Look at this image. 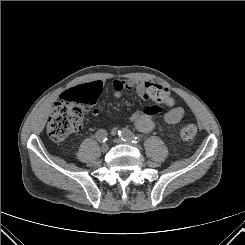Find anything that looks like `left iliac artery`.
Wrapping results in <instances>:
<instances>
[{"label": "left iliac artery", "mask_w": 245, "mask_h": 245, "mask_svg": "<svg viewBox=\"0 0 245 245\" xmlns=\"http://www.w3.org/2000/svg\"><path fill=\"white\" fill-rule=\"evenodd\" d=\"M118 135L121 137L123 141L131 140L132 142H135V143H139L142 138V137L134 135V133H132L128 129H122L118 131Z\"/></svg>", "instance_id": "obj_1"}]
</instances>
